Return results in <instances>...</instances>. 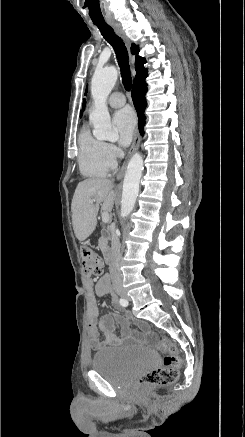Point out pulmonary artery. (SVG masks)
Wrapping results in <instances>:
<instances>
[{
  "mask_svg": "<svg viewBox=\"0 0 245 437\" xmlns=\"http://www.w3.org/2000/svg\"><path fill=\"white\" fill-rule=\"evenodd\" d=\"M125 103V96L121 92L112 93L108 99V104L113 108L122 107Z\"/></svg>",
  "mask_w": 245,
  "mask_h": 437,
  "instance_id": "1",
  "label": "pulmonary artery"
}]
</instances>
